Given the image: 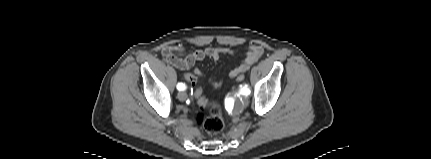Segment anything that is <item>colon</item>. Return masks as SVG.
Listing matches in <instances>:
<instances>
[{
	"instance_id": "colon-1",
	"label": "colon",
	"mask_w": 431,
	"mask_h": 159,
	"mask_svg": "<svg viewBox=\"0 0 431 159\" xmlns=\"http://www.w3.org/2000/svg\"><path fill=\"white\" fill-rule=\"evenodd\" d=\"M182 78L190 82L194 86L195 96L197 97V103L201 106V110L197 114V123L201 126L208 134H217L224 128V121L222 117L221 107L216 102L209 103L204 96H202V85L200 79L196 78L194 73L190 71H184ZM246 79V73L240 72L237 75L236 82L242 83ZM208 108V113L205 114L203 109Z\"/></svg>"
}]
</instances>
